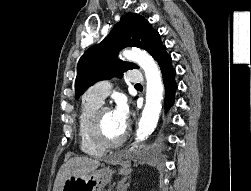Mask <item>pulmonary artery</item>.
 Instances as JSON below:
<instances>
[{"label":"pulmonary artery","instance_id":"e3ab8cb5","mask_svg":"<svg viewBox=\"0 0 251 191\" xmlns=\"http://www.w3.org/2000/svg\"><path fill=\"white\" fill-rule=\"evenodd\" d=\"M139 71V68H130V73L128 75L129 80H131L132 82H144V77H140ZM112 87L113 83L111 81H100L89 93V97L102 102V100L110 93Z\"/></svg>","mask_w":251,"mask_h":191}]
</instances>
